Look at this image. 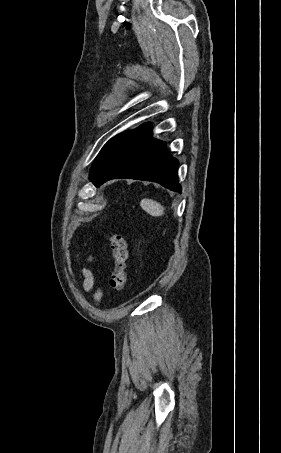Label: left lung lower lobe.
<instances>
[{
	"mask_svg": "<svg viewBox=\"0 0 281 453\" xmlns=\"http://www.w3.org/2000/svg\"><path fill=\"white\" fill-rule=\"evenodd\" d=\"M178 165L166 144L152 138L151 126L143 124L116 135L104 145L91 166L90 180L99 186L114 178H132L154 181L181 192Z\"/></svg>",
	"mask_w": 281,
	"mask_h": 453,
	"instance_id": "left-lung-lower-lobe-1",
	"label": "left lung lower lobe"
}]
</instances>
